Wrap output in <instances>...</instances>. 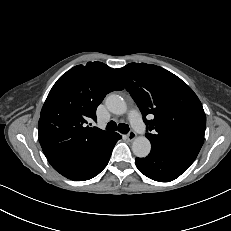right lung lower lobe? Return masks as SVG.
<instances>
[{"instance_id":"obj_1","label":"right lung lower lobe","mask_w":231,"mask_h":231,"mask_svg":"<svg viewBox=\"0 0 231 231\" xmlns=\"http://www.w3.org/2000/svg\"><path fill=\"white\" fill-rule=\"evenodd\" d=\"M119 139L121 136L113 133L92 155L58 172L75 181H85L95 177L107 166L112 150Z\"/></svg>"}]
</instances>
